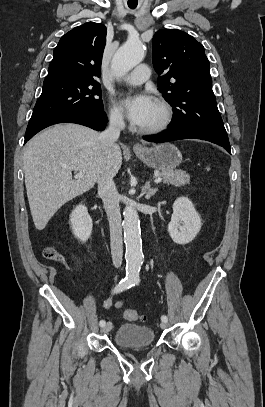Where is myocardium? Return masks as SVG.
<instances>
[{
  "mask_svg": "<svg viewBox=\"0 0 265 407\" xmlns=\"http://www.w3.org/2000/svg\"><path fill=\"white\" fill-rule=\"evenodd\" d=\"M155 103L160 107L162 115L160 120L153 126L148 128H139L138 131L142 134H157L164 131L172 122L173 108L163 98H156Z\"/></svg>",
  "mask_w": 265,
  "mask_h": 407,
  "instance_id": "1",
  "label": "myocardium"
}]
</instances>
